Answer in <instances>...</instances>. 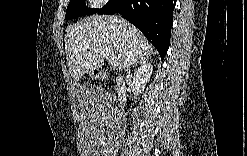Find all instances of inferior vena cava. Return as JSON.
<instances>
[{
    "instance_id": "obj_1",
    "label": "inferior vena cava",
    "mask_w": 247,
    "mask_h": 156,
    "mask_svg": "<svg viewBox=\"0 0 247 156\" xmlns=\"http://www.w3.org/2000/svg\"><path fill=\"white\" fill-rule=\"evenodd\" d=\"M124 30L126 31V27L124 28ZM130 57H132L131 53L129 55H127L126 62L124 63L123 69L127 72H130V64H131Z\"/></svg>"
}]
</instances>
